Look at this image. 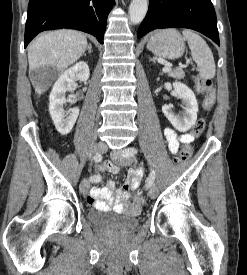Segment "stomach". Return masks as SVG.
Returning a JSON list of instances; mask_svg holds the SVG:
<instances>
[{"mask_svg": "<svg viewBox=\"0 0 247 275\" xmlns=\"http://www.w3.org/2000/svg\"><path fill=\"white\" fill-rule=\"evenodd\" d=\"M147 48L158 57L176 59L182 56L185 43L183 37L175 29H166L152 36Z\"/></svg>", "mask_w": 247, "mask_h": 275, "instance_id": "0dacf381", "label": "stomach"}]
</instances>
